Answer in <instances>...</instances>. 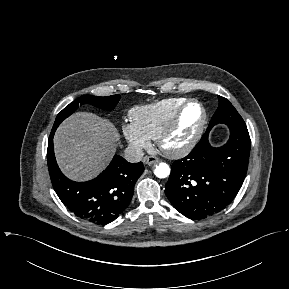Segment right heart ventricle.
<instances>
[{
    "label": "right heart ventricle",
    "instance_id": "right-heart-ventricle-1",
    "mask_svg": "<svg viewBox=\"0 0 289 289\" xmlns=\"http://www.w3.org/2000/svg\"><path fill=\"white\" fill-rule=\"evenodd\" d=\"M185 100L187 99L183 97H171L152 104L139 106L131 110L130 118L132 123L147 137L158 139Z\"/></svg>",
    "mask_w": 289,
    "mask_h": 289
}]
</instances>
